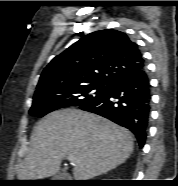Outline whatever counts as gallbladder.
<instances>
[{
	"mask_svg": "<svg viewBox=\"0 0 178 186\" xmlns=\"http://www.w3.org/2000/svg\"><path fill=\"white\" fill-rule=\"evenodd\" d=\"M62 177V173H58L57 175H55V178L56 179H59V178H61Z\"/></svg>",
	"mask_w": 178,
	"mask_h": 186,
	"instance_id": "gallbladder-1",
	"label": "gallbladder"
}]
</instances>
